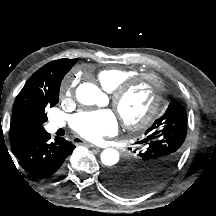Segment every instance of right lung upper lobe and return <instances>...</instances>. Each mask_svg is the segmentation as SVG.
<instances>
[{"label":"right lung upper lobe","mask_w":216,"mask_h":216,"mask_svg":"<svg viewBox=\"0 0 216 216\" xmlns=\"http://www.w3.org/2000/svg\"><path fill=\"white\" fill-rule=\"evenodd\" d=\"M78 59L51 61L37 70L16 97L10 124L13 152L33 134L44 131L45 109L59 100V88L64 75Z\"/></svg>","instance_id":"right-lung-upper-lobe-1"}]
</instances>
